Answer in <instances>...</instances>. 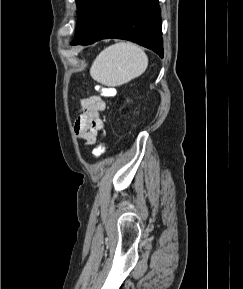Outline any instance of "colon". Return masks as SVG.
Instances as JSON below:
<instances>
[{
	"label": "colon",
	"instance_id": "colon-1",
	"mask_svg": "<svg viewBox=\"0 0 243 289\" xmlns=\"http://www.w3.org/2000/svg\"><path fill=\"white\" fill-rule=\"evenodd\" d=\"M100 93L105 97H110L113 95L114 90L109 87H97ZM105 153V145L104 143L99 144L93 151L95 157H101Z\"/></svg>",
	"mask_w": 243,
	"mask_h": 289
}]
</instances>
